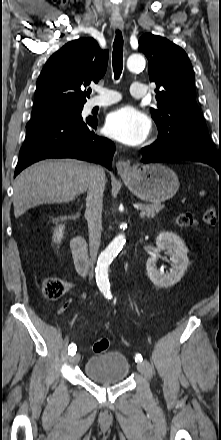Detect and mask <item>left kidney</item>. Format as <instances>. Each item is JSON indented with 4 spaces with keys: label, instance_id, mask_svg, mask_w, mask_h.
Returning <instances> with one entry per match:
<instances>
[{
    "label": "left kidney",
    "instance_id": "left-kidney-1",
    "mask_svg": "<svg viewBox=\"0 0 221 440\" xmlns=\"http://www.w3.org/2000/svg\"><path fill=\"white\" fill-rule=\"evenodd\" d=\"M156 244L159 249L166 250V254L170 256L171 268L167 273L158 270V256H152L146 263L147 274L154 285L168 288L175 285L183 277L189 264L188 249L184 241L172 232H161L156 238Z\"/></svg>",
    "mask_w": 221,
    "mask_h": 440
}]
</instances>
